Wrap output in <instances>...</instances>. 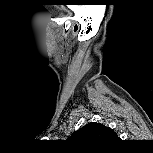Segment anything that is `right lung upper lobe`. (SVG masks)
<instances>
[{
  "mask_svg": "<svg viewBox=\"0 0 153 153\" xmlns=\"http://www.w3.org/2000/svg\"><path fill=\"white\" fill-rule=\"evenodd\" d=\"M117 139L118 136L113 129L96 122L86 124L69 138L77 144L86 146H95Z\"/></svg>",
  "mask_w": 153,
  "mask_h": 153,
  "instance_id": "right-lung-upper-lobe-1",
  "label": "right lung upper lobe"
}]
</instances>
